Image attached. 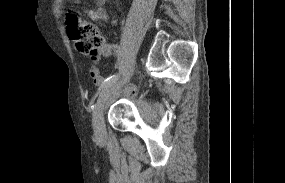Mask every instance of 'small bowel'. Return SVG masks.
Returning <instances> with one entry per match:
<instances>
[{
  "mask_svg": "<svg viewBox=\"0 0 285 183\" xmlns=\"http://www.w3.org/2000/svg\"><path fill=\"white\" fill-rule=\"evenodd\" d=\"M108 0H96V7L92 9H85V14L97 24L103 25L108 20V13L105 9V4ZM119 56V47L115 44L103 43L93 56L94 61L100 58L113 57L117 59ZM90 77L97 86H101L104 82V76L101 70L93 65L89 69ZM130 94H136L137 89L135 87L128 88Z\"/></svg>",
  "mask_w": 285,
  "mask_h": 183,
  "instance_id": "c3829d8e",
  "label": "small bowel"
}]
</instances>
